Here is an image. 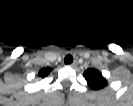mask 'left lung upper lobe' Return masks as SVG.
Segmentation results:
<instances>
[{
    "instance_id": "obj_1",
    "label": "left lung upper lobe",
    "mask_w": 133,
    "mask_h": 106,
    "mask_svg": "<svg viewBox=\"0 0 133 106\" xmlns=\"http://www.w3.org/2000/svg\"><path fill=\"white\" fill-rule=\"evenodd\" d=\"M84 77L91 89L98 90L107 86V81L98 70L87 69L84 72Z\"/></svg>"
}]
</instances>
